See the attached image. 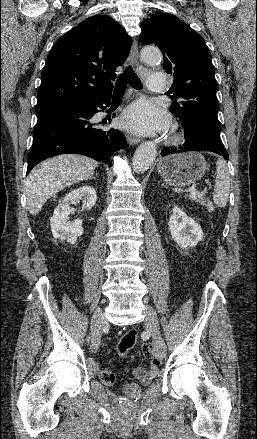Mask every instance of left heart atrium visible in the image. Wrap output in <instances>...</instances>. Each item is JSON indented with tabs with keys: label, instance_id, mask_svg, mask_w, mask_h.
I'll use <instances>...</instances> for the list:
<instances>
[{
	"label": "left heart atrium",
	"instance_id": "1",
	"mask_svg": "<svg viewBox=\"0 0 257 439\" xmlns=\"http://www.w3.org/2000/svg\"><path fill=\"white\" fill-rule=\"evenodd\" d=\"M169 122V115L147 100L133 104L121 117V123L125 128L142 135L162 133L167 129Z\"/></svg>",
	"mask_w": 257,
	"mask_h": 439
}]
</instances>
